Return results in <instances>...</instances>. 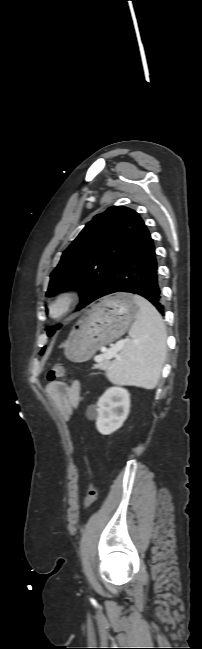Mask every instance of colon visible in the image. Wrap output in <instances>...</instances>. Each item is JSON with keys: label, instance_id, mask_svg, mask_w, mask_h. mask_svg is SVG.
<instances>
[{"label": "colon", "instance_id": "1", "mask_svg": "<svg viewBox=\"0 0 202 649\" xmlns=\"http://www.w3.org/2000/svg\"><path fill=\"white\" fill-rule=\"evenodd\" d=\"M65 374H66V368L63 365L59 364V365H54L49 369L47 377L49 381H57L63 378ZM96 498H97V488L95 487L94 484H92L89 487L88 492L84 499V503H83L84 509L88 510L94 504Z\"/></svg>", "mask_w": 202, "mask_h": 649}]
</instances>
